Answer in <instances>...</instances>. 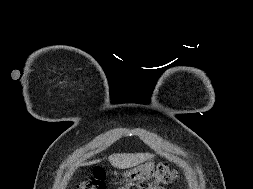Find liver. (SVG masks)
<instances>
[{"mask_svg":"<svg viewBox=\"0 0 253 189\" xmlns=\"http://www.w3.org/2000/svg\"><path fill=\"white\" fill-rule=\"evenodd\" d=\"M153 157L152 154L149 153H121V154H113L109 156L110 163L120 169H125L133 166H137ZM100 160H94L88 164L97 163Z\"/></svg>","mask_w":253,"mask_h":189,"instance_id":"1","label":"liver"}]
</instances>
